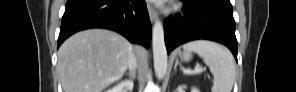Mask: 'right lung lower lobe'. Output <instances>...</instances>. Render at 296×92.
Wrapping results in <instances>:
<instances>
[{
  "label": "right lung lower lobe",
  "mask_w": 296,
  "mask_h": 92,
  "mask_svg": "<svg viewBox=\"0 0 296 92\" xmlns=\"http://www.w3.org/2000/svg\"><path fill=\"white\" fill-rule=\"evenodd\" d=\"M89 28L114 30L146 48L151 41V24L144 1L68 0L62 17L58 47L70 35Z\"/></svg>",
  "instance_id": "1"
}]
</instances>
